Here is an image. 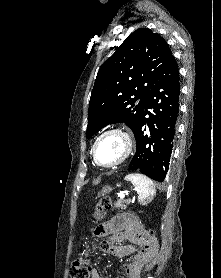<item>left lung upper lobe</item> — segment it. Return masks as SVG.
Wrapping results in <instances>:
<instances>
[{"label": "left lung upper lobe", "mask_w": 221, "mask_h": 278, "mask_svg": "<svg viewBox=\"0 0 221 278\" xmlns=\"http://www.w3.org/2000/svg\"><path fill=\"white\" fill-rule=\"evenodd\" d=\"M173 57L166 41L140 28L116 47L101 65L92 90L86 137L112 123L125 122L135 132L146 97Z\"/></svg>", "instance_id": "5c2ea615"}]
</instances>
